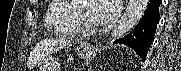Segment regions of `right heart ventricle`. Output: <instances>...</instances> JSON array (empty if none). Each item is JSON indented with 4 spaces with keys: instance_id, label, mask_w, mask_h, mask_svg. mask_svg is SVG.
Listing matches in <instances>:
<instances>
[{
    "instance_id": "1",
    "label": "right heart ventricle",
    "mask_w": 181,
    "mask_h": 71,
    "mask_svg": "<svg viewBox=\"0 0 181 71\" xmlns=\"http://www.w3.org/2000/svg\"><path fill=\"white\" fill-rule=\"evenodd\" d=\"M44 18L46 27L59 35L75 36L80 31L74 5L68 1H48Z\"/></svg>"
}]
</instances>
